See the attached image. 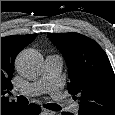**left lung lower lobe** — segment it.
<instances>
[{
	"label": "left lung lower lobe",
	"mask_w": 115,
	"mask_h": 115,
	"mask_svg": "<svg viewBox=\"0 0 115 115\" xmlns=\"http://www.w3.org/2000/svg\"><path fill=\"white\" fill-rule=\"evenodd\" d=\"M62 115H73L72 113L62 112Z\"/></svg>",
	"instance_id": "obj_1"
}]
</instances>
